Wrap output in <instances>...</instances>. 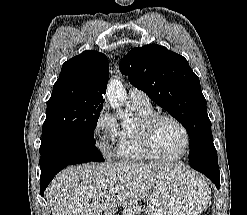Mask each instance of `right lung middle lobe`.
Segmentation results:
<instances>
[{
	"label": "right lung middle lobe",
	"mask_w": 247,
	"mask_h": 215,
	"mask_svg": "<svg viewBox=\"0 0 247 215\" xmlns=\"http://www.w3.org/2000/svg\"><path fill=\"white\" fill-rule=\"evenodd\" d=\"M103 102L75 96L70 90L52 92L42 128V143L56 136H76L95 143L94 129Z\"/></svg>",
	"instance_id": "obj_1"
}]
</instances>
